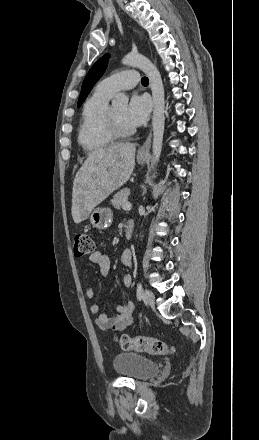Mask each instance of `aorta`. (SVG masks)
Instances as JSON below:
<instances>
[{
  "instance_id": "1",
  "label": "aorta",
  "mask_w": 259,
  "mask_h": 440,
  "mask_svg": "<svg viewBox=\"0 0 259 440\" xmlns=\"http://www.w3.org/2000/svg\"><path fill=\"white\" fill-rule=\"evenodd\" d=\"M123 65L137 67L141 69L148 77L152 97H153V160L154 163L159 161L161 151H162V141L164 134V88L161 79V75L158 69L152 64V62L140 54H128L122 59ZM129 98L123 93H118L114 96L112 104L114 106H126L128 104Z\"/></svg>"
}]
</instances>
